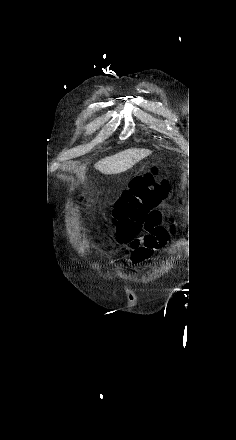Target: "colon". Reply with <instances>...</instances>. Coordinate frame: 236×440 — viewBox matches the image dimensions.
<instances>
[{"label": "colon", "mask_w": 236, "mask_h": 440, "mask_svg": "<svg viewBox=\"0 0 236 440\" xmlns=\"http://www.w3.org/2000/svg\"><path fill=\"white\" fill-rule=\"evenodd\" d=\"M159 169L135 177L118 199L113 212L117 239L128 242L140 230L147 214L164 198L168 183L158 182Z\"/></svg>", "instance_id": "5ec220e1"}]
</instances>
